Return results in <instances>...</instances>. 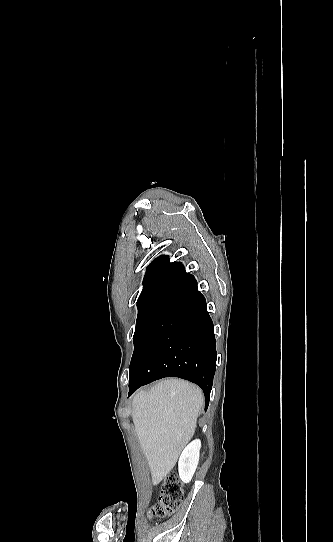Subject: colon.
Instances as JSON below:
<instances>
[{"mask_svg": "<svg viewBox=\"0 0 333 542\" xmlns=\"http://www.w3.org/2000/svg\"><path fill=\"white\" fill-rule=\"evenodd\" d=\"M183 500L182 486L174 474L165 477L158 502L153 505L151 515L164 517L177 510Z\"/></svg>", "mask_w": 333, "mask_h": 542, "instance_id": "1", "label": "colon"}]
</instances>
